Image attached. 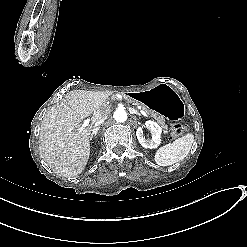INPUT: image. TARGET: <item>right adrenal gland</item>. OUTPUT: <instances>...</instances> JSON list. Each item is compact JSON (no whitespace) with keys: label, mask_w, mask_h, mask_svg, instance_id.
I'll return each mask as SVG.
<instances>
[{"label":"right adrenal gland","mask_w":247,"mask_h":247,"mask_svg":"<svg viewBox=\"0 0 247 247\" xmlns=\"http://www.w3.org/2000/svg\"><path fill=\"white\" fill-rule=\"evenodd\" d=\"M100 127H97L95 129H92V133L90 134L89 139L92 140L93 136L97 135V132L99 131Z\"/></svg>","instance_id":"2a0ac1e0"}]
</instances>
